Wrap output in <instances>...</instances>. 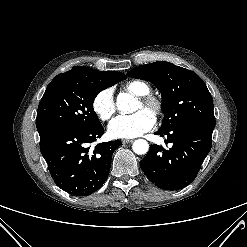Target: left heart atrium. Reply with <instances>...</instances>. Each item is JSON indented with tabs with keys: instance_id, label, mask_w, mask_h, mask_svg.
<instances>
[{
	"instance_id": "obj_1",
	"label": "left heart atrium",
	"mask_w": 247,
	"mask_h": 247,
	"mask_svg": "<svg viewBox=\"0 0 247 247\" xmlns=\"http://www.w3.org/2000/svg\"><path fill=\"white\" fill-rule=\"evenodd\" d=\"M154 124V115L145 109H140L131 115L114 118L108 126V132L113 138H134L149 131Z\"/></svg>"
}]
</instances>
